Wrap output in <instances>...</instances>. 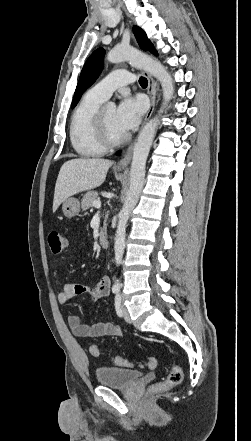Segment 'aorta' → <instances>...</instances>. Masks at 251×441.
Segmentation results:
<instances>
[{
	"instance_id": "1",
	"label": "aorta",
	"mask_w": 251,
	"mask_h": 441,
	"mask_svg": "<svg viewBox=\"0 0 251 441\" xmlns=\"http://www.w3.org/2000/svg\"><path fill=\"white\" fill-rule=\"evenodd\" d=\"M107 59L111 63L128 61L132 66L150 73L161 83L165 103H168L172 99L174 93L173 79L159 61L148 55L142 54L131 47H116L108 53ZM108 106L114 108L115 104L110 102ZM160 112H162V110ZM157 128L158 117H155L144 125L133 149V158L130 169V186L124 205L118 214L119 220L115 235L114 251L115 263L117 266L122 262L125 250L127 222L132 210L138 202L139 195L144 185L146 160ZM114 287H120L119 280L115 282Z\"/></svg>"
}]
</instances>
